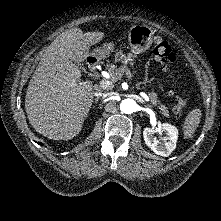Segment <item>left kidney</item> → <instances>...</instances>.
<instances>
[{
	"mask_svg": "<svg viewBox=\"0 0 221 221\" xmlns=\"http://www.w3.org/2000/svg\"><path fill=\"white\" fill-rule=\"evenodd\" d=\"M164 134L162 138L164 143H160L159 140L154 136L155 133ZM143 137L145 144L157 155L167 157L176 147L178 138V129L168 123H163L158 128L146 127L143 131Z\"/></svg>",
	"mask_w": 221,
	"mask_h": 221,
	"instance_id": "1",
	"label": "left kidney"
}]
</instances>
